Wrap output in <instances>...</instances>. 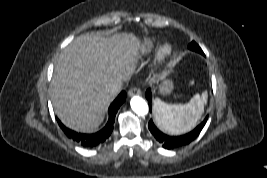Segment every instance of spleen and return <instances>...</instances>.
Wrapping results in <instances>:
<instances>
[{
	"instance_id": "3e777b00",
	"label": "spleen",
	"mask_w": 267,
	"mask_h": 178,
	"mask_svg": "<svg viewBox=\"0 0 267 178\" xmlns=\"http://www.w3.org/2000/svg\"><path fill=\"white\" fill-rule=\"evenodd\" d=\"M207 91L195 94L186 104H167L160 99L153 101L157 126L165 133L180 135L192 130L198 123L207 103Z\"/></svg>"
}]
</instances>
